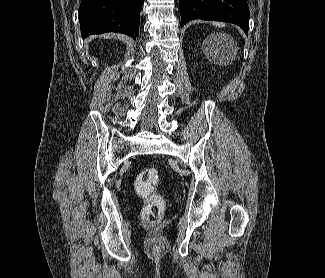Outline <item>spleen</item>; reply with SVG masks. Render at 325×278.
I'll return each instance as SVG.
<instances>
[{"mask_svg":"<svg viewBox=\"0 0 325 278\" xmlns=\"http://www.w3.org/2000/svg\"><path fill=\"white\" fill-rule=\"evenodd\" d=\"M214 25H216V26H219V27H220V26H223V24H222V23H217V22H216V23H214Z\"/></svg>","mask_w":325,"mask_h":278,"instance_id":"1","label":"spleen"}]
</instances>
